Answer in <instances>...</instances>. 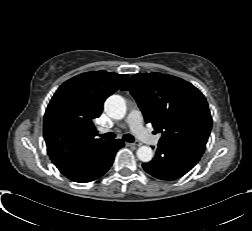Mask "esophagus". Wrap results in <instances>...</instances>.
I'll return each instance as SVG.
<instances>
[{
    "mask_svg": "<svg viewBox=\"0 0 252 231\" xmlns=\"http://www.w3.org/2000/svg\"><path fill=\"white\" fill-rule=\"evenodd\" d=\"M126 145L127 146H139L140 143H137V142H133V143L126 142Z\"/></svg>",
    "mask_w": 252,
    "mask_h": 231,
    "instance_id": "esophagus-1",
    "label": "esophagus"
}]
</instances>
